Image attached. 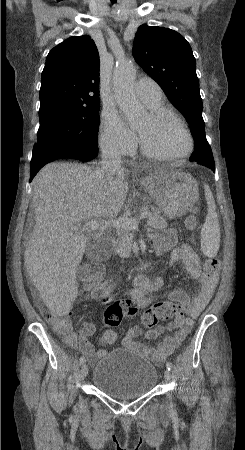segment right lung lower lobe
Wrapping results in <instances>:
<instances>
[{
    "instance_id": "obj_1",
    "label": "right lung lower lobe",
    "mask_w": 245,
    "mask_h": 450,
    "mask_svg": "<svg viewBox=\"0 0 245 450\" xmlns=\"http://www.w3.org/2000/svg\"><path fill=\"white\" fill-rule=\"evenodd\" d=\"M98 153L97 151H84V152H75V153H68V152H59V153H53L47 156L42 157L39 159L36 163H31L30 166V181L34 178V176L37 174V172L41 169V167L55 159H61V158H74L81 161H89L93 159Z\"/></svg>"
}]
</instances>
